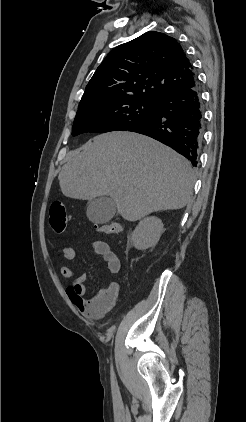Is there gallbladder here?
<instances>
[{
  "mask_svg": "<svg viewBox=\"0 0 246 422\" xmlns=\"http://www.w3.org/2000/svg\"><path fill=\"white\" fill-rule=\"evenodd\" d=\"M116 213V204L112 198L99 196L88 202L87 217L96 224L109 222Z\"/></svg>",
  "mask_w": 246,
  "mask_h": 422,
  "instance_id": "1",
  "label": "gallbladder"
}]
</instances>
